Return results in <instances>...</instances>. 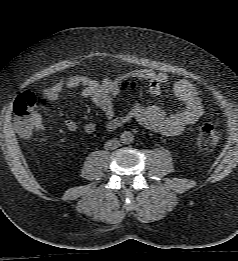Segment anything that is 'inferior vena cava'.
<instances>
[{
  "mask_svg": "<svg viewBox=\"0 0 238 261\" xmlns=\"http://www.w3.org/2000/svg\"><path fill=\"white\" fill-rule=\"evenodd\" d=\"M104 145H105L104 146L105 149L114 150L119 147L120 143L118 140L112 139V140H108Z\"/></svg>",
  "mask_w": 238,
  "mask_h": 261,
  "instance_id": "inferior-vena-cava-1",
  "label": "inferior vena cava"
}]
</instances>
